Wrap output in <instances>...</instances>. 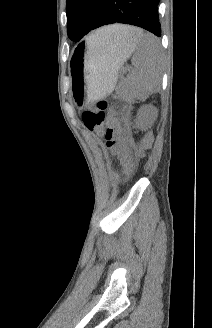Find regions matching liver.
Returning a JSON list of instances; mask_svg holds the SVG:
<instances>
[{"mask_svg":"<svg viewBox=\"0 0 212 328\" xmlns=\"http://www.w3.org/2000/svg\"><path fill=\"white\" fill-rule=\"evenodd\" d=\"M140 31L137 28L126 25H112L100 29V34L103 37L104 47H114L120 44L130 43L136 40L135 35Z\"/></svg>","mask_w":212,"mask_h":328,"instance_id":"liver-1","label":"liver"}]
</instances>
